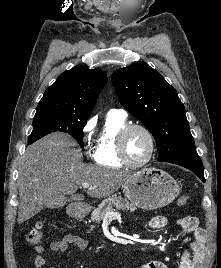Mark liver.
<instances>
[{"instance_id":"6515ba94","label":"liver","mask_w":221,"mask_h":268,"mask_svg":"<svg viewBox=\"0 0 221 268\" xmlns=\"http://www.w3.org/2000/svg\"><path fill=\"white\" fill-rule=\"evenodd\" d=\"M75 141L64 133H52L30 145L21 158L18 175V224L44 208L74 195L83 183L87 194L105 198L116 192L133 174L86 165ZM62 196V198L59 197Z\"/></svg>"}]
</instances>
